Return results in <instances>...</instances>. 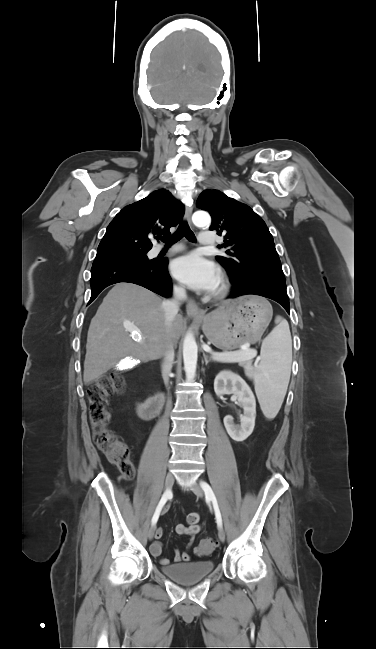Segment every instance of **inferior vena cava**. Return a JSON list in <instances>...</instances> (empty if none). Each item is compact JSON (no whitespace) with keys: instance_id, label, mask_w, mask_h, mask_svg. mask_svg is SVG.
I'll return each instance as SVG.
<instances>
[{"instance_id":"obj_1","label":"inferior vena cava","mask_w":376,"mask_h":649,"mask_svg":"<svg viewBox=\"0 0 376 649\" xmlns=\"http://www.w3.org/2000/svg\"><path fill=\"white\" fill-rule=\"evenodd\" d=\"M186 298L187 295L185 288L176 286L173 288V298L163 302L162 306L164 309L165 322L167 326H170L174 317L178 314L181 303L185 301ZM173 360L174 348L173 345L169 343L164 353L162 362L163 378L165 381L168 379Z\"/></svg>"}]
</instances>
